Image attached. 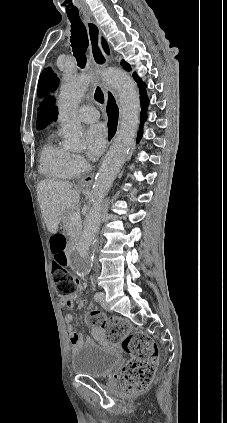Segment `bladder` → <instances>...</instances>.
<instances>
[{
  "mask_svg": "<svg viewBox=\"0 0 227 423\" xmlns=\"http://www.w3.org/2000/svg\"><path fill=\"white\" fill-rule=\"evenodd\" d=\"M121 363L118 353L96 343L84 344L72 357V371L80 377L107 379Z\"/></svg>",
  "mask_w": 227,
  "mask_h": 423,
  "instance_id": "1",
  "label": "bladder"
}]
</instances>
